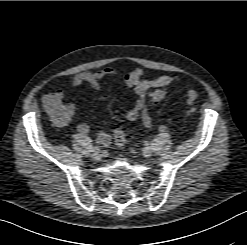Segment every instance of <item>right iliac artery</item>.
Masks as SVG:
<instances>
[{
	"label": "right iliac artery",
	"instance_id": "1",
	"mask_svg": "<svg viewBox=\"0 0 247 245\" xmlns=\"http://www.w3.org/2000/svg\"><path fill=\"white\" fill-rule=\"evenodd\" d=\"M93 152H97V151H100V146H95L92 150Z\"/></svg>",
	"mask_w": 247,
	"mask_h": 245
}]
</instances>
